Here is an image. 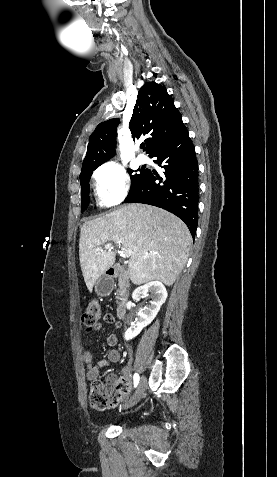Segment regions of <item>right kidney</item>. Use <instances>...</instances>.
<instances>
[{"label":"right kidney","instance_id":"right-kidney-1","mask_svg":"<svg viewBox=\"0 0 277 477\" xmlns=\"http://www.w3.org/2000/svg\"><path fill=\"white\" fill-rule=\"evenodd\" d=\"M149 292L151 293L152 300L148 306L138 312L137 321L126 330L124 334L126 340L136 337L144 327L149 325L158 314L162 304L166 301V288L159 281H151L138 287L134 290L132 298L133 300H139L142 296L148 295Z\"/></svg>","mask_w":277,"mask_h":477}]
</instances>
